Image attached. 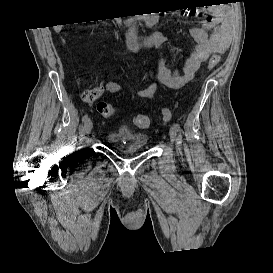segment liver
I'll return each mask as SVG.
<instances>
[{
  "mask_svg": "<svg viewBox=\"0 0 273 273\" xmlns=\"http://www.w3.org/2000/svg\"><path fill=\"white\" fill-rule=\"evenodd\" d=\"M61 29H62V26H61V25H58V26H55V27H54V30H55L56 32H59Z\"/></svg>",
  "mask_w": 273,
  "mask_h": 273,
  "instance_id": "6515ba94",
  "label": "liver"
}]
</instances>
